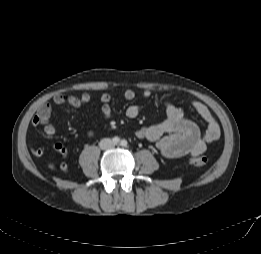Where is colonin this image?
Returning <instances> with one entry per match:
<instances>
[{
    "label": "colon",
    "instance_id": "colon-1",
    "mask_svg": "<svg viewBox=\"0 0 261 254\" xmlns=\"http://www.w3.org/2000/svg\"><path fill=\"white\" fill-rule=\"evenodd\" d=\"M207 158L205 156H191L189 158V163L197 168L203 167L207 164Z\"/></svg>",
    "mask_w": 261,
    "mask_h": 254
}]
</instances>
